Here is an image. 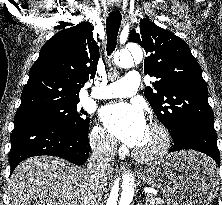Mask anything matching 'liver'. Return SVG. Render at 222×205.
Instances as JSON below:
<instances>
[{
	"mask_svg": "<svg viewBox=\"0 0 222 205\" xmlns=\"http://www.w3.org/2000/svg\"><path fill=\"white\" fill-rule=\"evenodd\" d=\"M105 180L93 187L83 168L54 156L32 157L20 163L9 179V205H83L89 190L98 205Z\"/></svg>",
	"mask_w": 222,
	"mask_h": 205,
	"instance_id": "liver-1",
	"label": "liver"
}]
</instances>
